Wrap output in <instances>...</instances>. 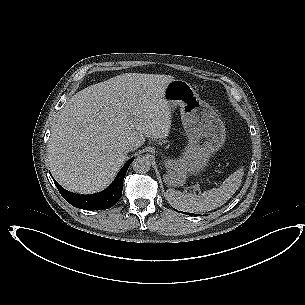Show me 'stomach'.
<instances>
[{
	"instance_id": "stomach-1",
	"label": "stomach",
	"mask_w": 305,
	"mask_h": 305,
	"mask_svg": "<svg viewBox=\"0 0 305 305\" xmlns=\"http://www.w3.org/2000/svg\"><path fill=\"white\" fill-rule=\"evenodd\" d=\"M163 99L171 108H180L181 121L188 138L185 151L178 158H164L165 181L182 186L190 175H198L211 155L224 143V126L216 112L202 101L186 81L174 79L164 91Z\"/></svg>"
}]
</instances>
